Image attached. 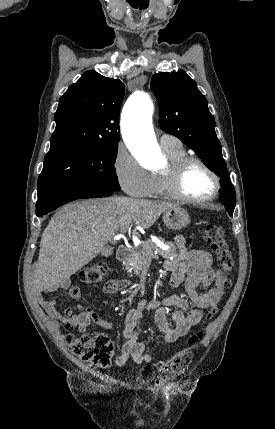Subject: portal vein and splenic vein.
<instances>
[{
    "instance_id": "1",
    "label": "portal vein and splenic vein",
    "mask_w": 275,
    "mask_h": 429,
    "mask_svg": "<svg viewBox=\"0 0 275 429\" xmlns=\"http://www.w3.org/2000/svg\"><path fill=\"white\" fill-rule=\"evenodd\" d=\"M131 229V226H127V227H124L122 230L123 231H127V230H130ZM162 249H164V250H167L168 249V247L167 246H162L161 247Z\"/></svg>"
}]
</instances>
